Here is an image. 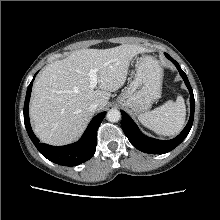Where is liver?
<instances>
[{
  "label": "liver",
  "instance_id": "obj_1",
  "mask_svg": "<svg viewBox=\"0 0 220 220\" xmlns=\"http://www.w3.org/2000/svg\"><path fill=\"white\" fill-rule=\"evenodd\" d=\"M136 44L109 49H81L49 64L34 82L29 107L35 134L44 143L63 145L76 140L92 118L88 107L107 105L121 88L132 58L145 52ZM98 68L99 89L90 88V69Z\"/></svg>",
  "mask_w": 220,
  "mask_h": 220
}]
</instances>
